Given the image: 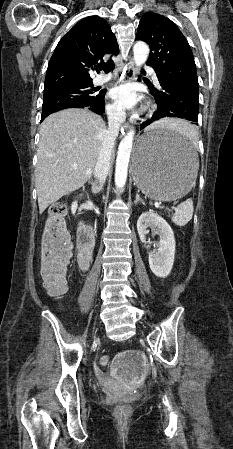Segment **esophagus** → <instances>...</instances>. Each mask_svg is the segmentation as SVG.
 <instances>
[{"instance_id":"esophagus-1","label":"esophagus","mask_w":233,"mask_h":449,"mask_svg":"<svg viewBox=\"0 0 233 449\" xmlns=\"http://www.w3.org/2000/svg\"><path fill=\"white\" fill-rule=\"evenodd\" d=\"M133 76H134V61L133 59H130L124 66V73L122 75L123 82H131L133 80ZM122 126L124 130H127L130 127L127 121H124Z\"/></svg>"}]
</instances>
